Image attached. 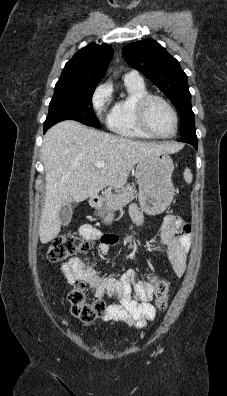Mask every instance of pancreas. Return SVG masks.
Listing matches in <instances>:
<instances>
[{"label":"pancreas","instance_id":"1","mask_svg":"<svg viewBox=\"0 0 227 396\" xmlns=\"http://www.w3.org/2000/svg\"><path fill=\"white\" fill-rule=\"evenodd\" d=\"M135 197V191L132 189L130 184L122 187V189L116 190V194H113L111 190L105 192V202L108 211H115L121 209L123 206L128 204Z\"/></svg>","mask_w":227,"mask_h":396}]
</instances>
